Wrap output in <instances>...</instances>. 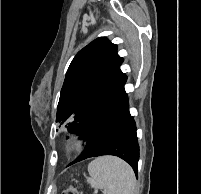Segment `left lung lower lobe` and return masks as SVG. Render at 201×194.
<instances>
[{"instance_id":"obj_1","label":"left lung lower lobe","mask_w":201,"mask_h":194,"mask_svg":"<svg viewBox=\"0 0 201 194\" xmlns=\"http://www.w3.org/2000/svg\"><path fill=\"white\" fill-rule=\"evenodd\" d=\"M125 83L79 130L77 134L88 143L83 153L68 166L91 157L115 155L129 163L137 175L139 145Z\"/></svg>"}]
</instances>
